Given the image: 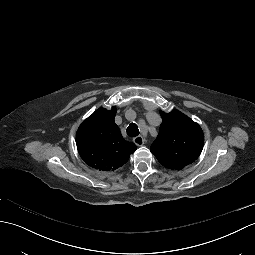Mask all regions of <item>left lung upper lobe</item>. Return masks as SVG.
I'll use <instances>...</instances> for the list:
<instances>
[{"label": "left lung upper lobe", "mask_w": 255, "mask_h": 255, "mask_svg": "<svg viewBox=\"0 0 255 255\" xmlns=\"http://www.w3.org/2000/svg\"><path fill=\"white\" fill-rule=\"evenodd\" d=\"M162 124L151 152L166 168L181 170L200 155L204 135L200 126L183 113L161 112Z\"/></svg>", "instance_id": "left-lung-upper-lobe-1"}]
</instances>
